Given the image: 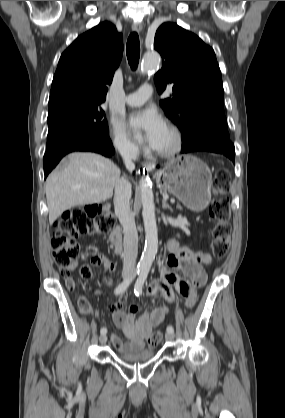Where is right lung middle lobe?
<instances>
[{"label":"right lung middle lobe","mask_w":285,"mask_h":418,"mask_svg":"<svg viewBox=\"0 0 285 418\" xmlns=\"http://www.w3.org/2000/svg\"><path fill=\"white\" fill-rule=\"evenodd\" d=\"M101 103L66 100L49 104L47 149L73 136L109 137Z\"/></svg>","instance_id":"obj_1"}]
</instances>
